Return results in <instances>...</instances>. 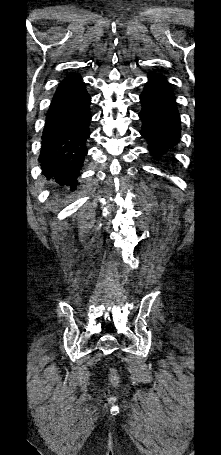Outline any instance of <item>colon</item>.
Here are the masks:
<instances>
[{
    "instance_id": "colon-1",
    "label": "colon",
    "mask_w": 221,
    "mask_h": 455,
    "mask_svg": "<svg viewBox=\"0 0 221 455\" xmlns=\"http://www.w3.org/2000/svg\"><path fill=\"white\" fill-rule=\"evenodd\" d=\"M112 382H113L114 384H117V383L119 382L118 377H116V376L113 377V378H112Z\"/></svg>"
}]
</instances>
